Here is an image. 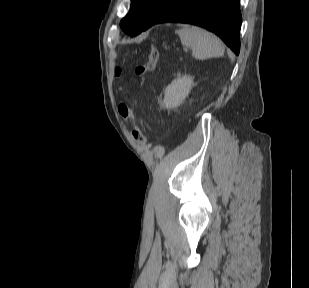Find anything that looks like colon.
Wrapping results in <instances>:
<instances>
[{
  "instance_id": "1",
  "label": "colon",
  "mask_w": 309,
  "mask_h": 288,
  "mask_svg": "<svg viewBox=\"0 0 309 288\" xmlns=\"http://www.w3.org/2000/svg\"><path fill=\"white\" fill-rule=\"evenodd\" d=\"M157 62H158V52L156 49L150 48L146 59L135 68V75L139 78L146 76L156 68ZM117 73L120 74L121 69H118ZM120 113L123 117L130 120H134L133 113L128 106L126 105L121 106ZM133 138L140 145H145L146 143L144 134L137 126H135V128L133 129Z\"/></svg>"
}]
</instances>
